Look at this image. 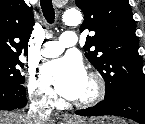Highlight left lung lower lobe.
Wrapping results in <instances>:
<instances>
[{"mask_svg": "<svg viewBox=\"0 0 145 124\" xmlns=\"http://www.w3.org/2000/svg\"><path fill=\"white\" fill-rule=\"evenodd\" d=\"M81 116L115 115L145 124V94L122 91L96 106L76 111Z\"/></svg>", "mask_w": 145, "mask_h": 124, "instance_id": "1", "label": "left lung lower lobe"}]
</instances>
